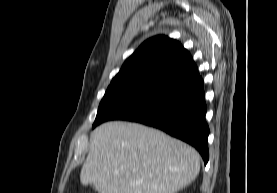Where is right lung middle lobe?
<instances>
[{
	"label": "right lung middle lobe",
	"instance_id": "1",
	"mask_svg": "<svg viewBox=\"0 0 277 193\" xmlns=\"http://www.w3.org/2000/svg\"><path fill=\"white\" fill-rule=\"evenodd\" d=\"M150 92L131 89H107L100 102L98 113L92 128L110 120L120 111L135 104L137 101L148 95Z\"/></svg>",
	"mask_w": 277,
	"mask_h": 193
}]
</instances>
